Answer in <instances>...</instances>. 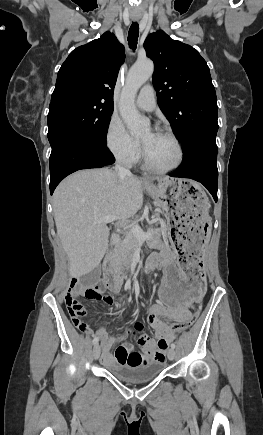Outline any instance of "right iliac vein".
Here are the masks:
<instances>
[{
	"instance_id": "obj_1",
	"label": "right iliac vein",
	"mask_w": 263,
	"mask_h": 435,
	"mask_svg": "<svg viewBox=\"0 0 263 435\" xmlns=\"http://www.w3.org/2000/svg\"><path fill=\"white\" fill-rule=\"evenodd\" d=\"M100 352H101V350H100V346H99L98 344H95V346H94V348H93V358H94L95 360H97V359L99 358V356H100Z\"/></svg>"
}]
</instances>
